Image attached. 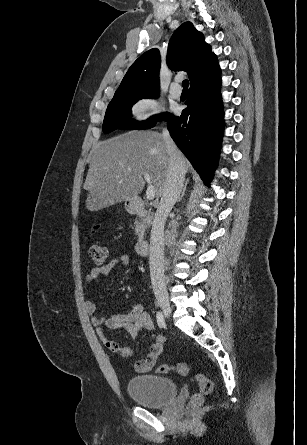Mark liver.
<instances>
[{"instance_id": "6515ba94", "label": "liver", "mask_w": 307, "mask_h": 445, "mask_svg": "<svg viewBox=\"0 0 307 445\" xmlns=\"http://www.w3.org/2000/svg\"><path fill=\"white\" fill-rule=\"evenodd\" d=\"M183 160L188 170L184 156ZM168 166L169 156L160 132L129 130L100 140L95 144L83 184L87 190L85 206L88 210H102L137 196L145 186L143 174H150L159 198L166 182Z\"/></svg>"}]
</instances>
